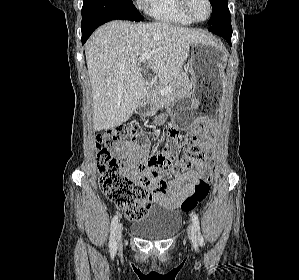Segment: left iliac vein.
<instances>
[{"instance_id": "obj_1", "label": "left iliac vein", "mask_w": 299, "mask_h": 280, "mask_svg": "<svg viewBox=\"0 0 299 280\" xmlns=\"http://www.w3.org/2000/svg\"><path fill=\"white\" fill-rule=\"evenodd\" d=\"M188 237L193 243H196V232L192 229L191 226H189L188 229Z\"/></svg>"}]
</instances>
